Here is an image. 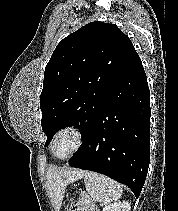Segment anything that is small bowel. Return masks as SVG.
Masks as SVG:
<instances>
[{
    "instance_id": "small-bowel-1",
    "label": "small bowel",
    "mask_w": 178,
    "mask_h": 211,
    "mask_svg": "<svg viewBox=\"0 0 178 211\" xmlns=\"http://www.w3.org/2000/svg\"><path fill=\"white\" fill-rule=\"evenodd\" d=\"M79 211H97V208L90 200L85 199L80 202Z\"/></svg>"
}]
</instances>
